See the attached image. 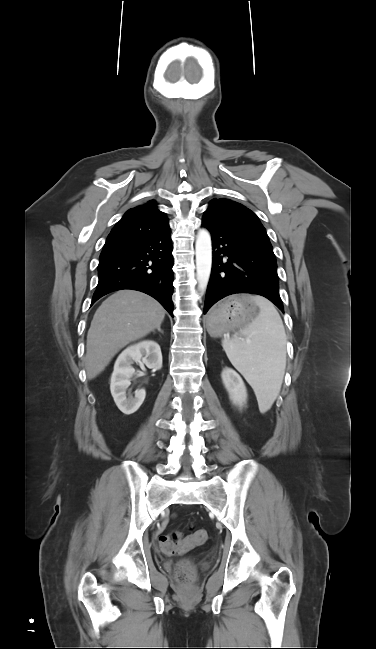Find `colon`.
I'll list each match as a JSON object with an SVG mask.
<instances>
[{"mask_svg": "<svg viewBox=\"0 0 376 649\" xmlns=\"http://www.w3.org/2000/svg\"><path fill=\"white\" fill-rule=\"evenodd\" d=\"M207 538L208 535L204 530L193 532L187 539H183L179 532H173L161 536L159 543L164 552L174 554L185 551L191 544H202ZM194 577L195 570L190 563L182 561L178 564L175 570V578L179 584L187 586L193 581Z\"/></svg>", "mask_w": 376, "mask_h": 649, "instance_id": "1", "label": "colon"}]
</instances>
